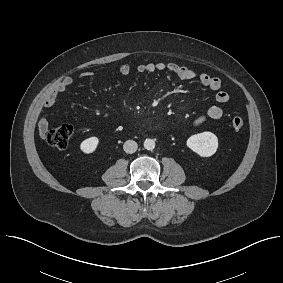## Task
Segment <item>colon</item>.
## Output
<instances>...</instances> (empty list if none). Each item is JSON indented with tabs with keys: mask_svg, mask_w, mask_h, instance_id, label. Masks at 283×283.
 Masks as SVG:
<instances>
[{
	"mask_svg": "<svg viewBox=\"0 0 283 283\" xmlns=\"http://www.w3.org/2000/svg\"><path fill=\"white\" fill-rule=\"evenodd\" d=\"M231 126L234 129H241L244 126V120L240 116H234L231 119ZM73 134V128L69 124L59 125L46 134L48 144L56 149H65L68 147Z\"/></svg>",
	"mask_w": 283,
	"mask_h": 283,
	"instance_id": "5ec220e1",
	"label": "colon"
}]
</instances>
